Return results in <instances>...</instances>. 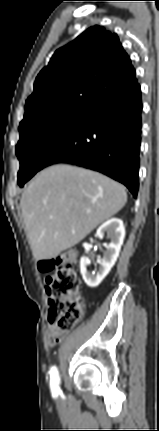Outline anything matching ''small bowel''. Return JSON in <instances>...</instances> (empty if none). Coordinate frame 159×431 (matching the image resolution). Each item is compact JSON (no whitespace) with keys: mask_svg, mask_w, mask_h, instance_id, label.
Masks as SVG:
<instances>
[{"mask_svg":"<svg viewBox=\"0 0 159 431\" xmlns=\"http://www.w3.org/2000/svg\"><path fill=\"white\" fill-rule=\"evenodd\" d=\"M67 334L68 331L60 329L55 324H49L47 327V338L50 346H55L56 344L62 342Z\"/></svg>","mask_w":159,"mask_h":431,"instance_id":"c3829d8e","label":"small bowel"}]
</instances>
